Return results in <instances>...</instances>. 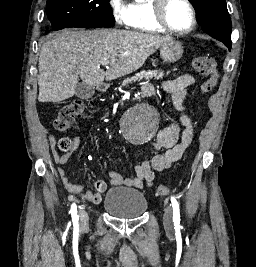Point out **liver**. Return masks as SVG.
I'll list each match as a JSON object with an SVG mask.
<instances>
[{
	"label": "liver",
	"instance_id": "liver-1",
	"mask_svg": "<svg viewBox=\"0 0 256 267\" xmlns=\"http://www.w3.org/2000/svg\"><path fill=\"white\" fill-rule=\"evenodd\" d=\"M169 40L129 30H61L41 48L38 102L72 98L79 78L89 86H102L104 80L127 76ZM103 62L108 64L106 72L100 68Z\"/></svg>",
	"mask_w": 256,
	"mask_h": 267
}]
</instances>
